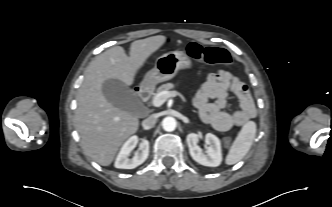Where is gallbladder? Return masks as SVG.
I'll use <instances>...</instances> for the list:
<instances>
[{
    "label": "gallbladder",
    "instance_id": "gallbladder-1",
    "mask_svg": "<svg viewBox=\"0 0 332 207\" xmlns=\"http://www.w3.org/2000/svg\"><path fill=\"white\" fill-rule=\"evenodd\" d=\"M102 93L113 106L125 110L132 115H138L143 109L137 95L122 81L108 79L102 84Z\"/></svg>",
    "mask_w": 332,
    "mask_h": 207
}]
</instances>
